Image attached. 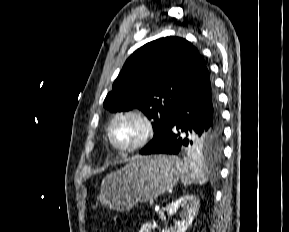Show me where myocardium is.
<instances>
[{"label":"myocardium","instance_id":"myocardium-1","mask_svg":"<svg viewBox=\"0 0 289 232\" xmlns=\"http://www.w3.org/2000/svg\"><path fill=\"white\" fill-rule=\"evenodd\" d=\"M131 117L136 119L142 125V135L140 138L129 145H121L117 143L113 137V126L121 118ZM156 127L153 119L140 109H126L117 112L109 122L107 135L112 146L120 151L130 152L141 149L147 145L155 135Z\"/></svg>","mask_w":289,"mask_h":232}]
</instances>
